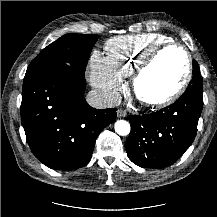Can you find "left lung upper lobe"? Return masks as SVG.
<instances>
[{"label": "left lung upper lobe", "mask_w": 217, "mask_h": 217, "mask_svg": "<svg viewBox=\"0 0 217 217\" xmlns=\"http://www.w3.org/2000/svg\"><path fill=\"white\" fill-rule=\"evenodd\" d=\"M202 76L196 60H193V78L190 81L187 90L192 89L196 92L202 93Z\"/></svg>", "instance_id": "obj_1"}]
</instances>
